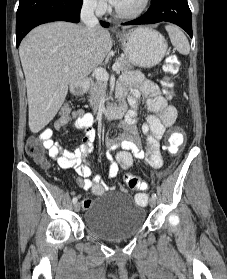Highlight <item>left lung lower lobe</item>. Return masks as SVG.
<instances>
[{"label": "left lung lower lobe", "mask_w": 227, "mask_h": 279, "mask_svg": "<svg viewBox=\"0 0 227 279\" xmlns=\"http://www.w3.org/2000/svg\"><path fill=\"white\" fill-rule=\"evenodd\" d=\"M161 21L180 26L192 37V15L187 0H152L144 15L122 25L152 24Z\"/></svg>", "instance_id": "obj_1"}]
</instances>
